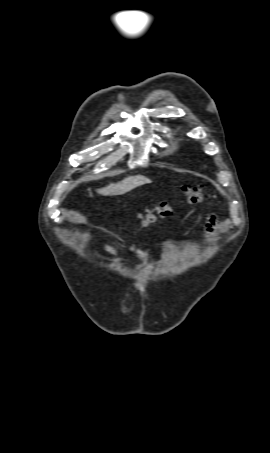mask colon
Returning a JSON list of instances; mask_svg holds the SVG:
<instances>
[{
    "label": "colon",
    "mask_w": 270,
    "mask_h": 453,
    "mask_svg": "<svg viewBox=\"0 0 270 453\" xmlns=\"http://www.w3.org/2000/svg\"><path fill=\"white\" fill-rule=\"evenodd\" d=\"M182 193L189 203H199L207 199L204 189L201 186H183ZM172 212V206L169 202H161L153 210H146L141 214V224L147 225L153 222L156 217H165Z\"/></svg>",
    "instance_id": "colon-1"
}]
</instances>
